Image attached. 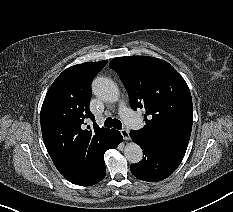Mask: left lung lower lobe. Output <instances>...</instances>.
I'll use <instances>...</instances> for the list:
<instances>
[{"mask_svg":"<svg viewBox=\"0 0 233 212\" xmlns=\"http://www.w3.org/2000/svg\"><path fill=\"white\" fill-rule=\"evenodd\" d=\"M130 136L143 149V159L130 167L132 174L140 180L157 182L167 178L176 170L185 155L135 134L130 133Z\"/></svg>","mask_w":233,"mask_h":212,"instance_id":"left-lung-lower-lobe-1","label":"left lung lower lobe"}]
</instances>
